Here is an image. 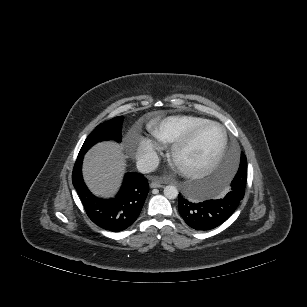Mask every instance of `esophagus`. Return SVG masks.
Listing matches in <instances>:
<instances>
[{"label": "esophagus", "instance_id": "1", "mask_svg": "<svg viewBox=\"0 0 307 307\" xmlns=\"http://www.w3.org/2000/svg\"><path fill=\"white\" fill-rule=\"evenodd\" d=\"M150 187L151 188H160V187H162V184L159 181L152 180L150 182Z\"/></svg>", "mask_w": 307, "mask_h": 307}]
</instances>
